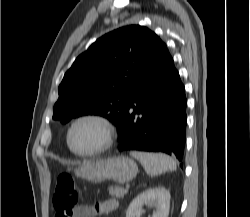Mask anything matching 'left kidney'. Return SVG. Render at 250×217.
I'll list each match as a JSON object with an SVG mask.
<instances>
[{
  "label": "left kidney",
  "instance_id": "obj_1",
  "mask_svg": "<svg viewBox=\"0 0 250 217\" xmlns=\"http://www.w3.org/2000/svg\"><path fill=\"white\" fill-rule=\"evenodd\" d=\"M144 204L155 208L152 217H168L170 193L163 187L145 190L130 203L126 217H140Z\"/></svg>",
  "mask_w": 250,
  "mask_h": 217
}]
</instances>
